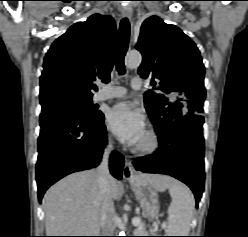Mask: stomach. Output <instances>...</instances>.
Returning <instances> with one entry per match:
<instances>
[{
	"mask_svg": "<svg viewBox=\"0 0 248 237\" xmlns=\"http://www.w3.org/2000/svg\"><path fill=\"white\" fill-rule=\"evenodd\" d=\"M132 190L136 196V199L140 203L144 216L149 219H154L159 214V199L158 189L151 184L148 180L137 177L135 180L130 181ZM169 184H166L165 189Z\"/></svg>",
	"mask_w": 248,
	"mask_h": 237,
	"instance_id": "0dacf381",
	"label": "stomach"
}]
</instances>
